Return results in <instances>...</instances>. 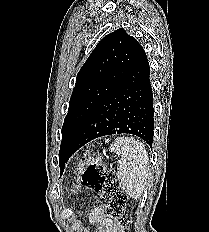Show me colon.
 <instances>
[{"label":"colon","instance_id":"colon-1","mask_svg":"<svg viewBox=\"0 0 209 232\" xmlns=\"http://www.w3.org/2000/svg\"><path fill=\"white\" fill-rule=\"evenodd\" d=\"M82 183L90 187L105 203L106 212L114 221H127V196L112 172L99 160H92L84 169Z\"/></svg>","mask_w":209,"mask_h":232}]
</instances>
